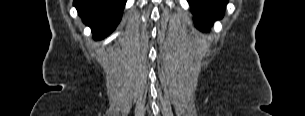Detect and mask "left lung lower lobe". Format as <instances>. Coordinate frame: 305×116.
Wrapping results in <instances>:
<instances>
[{"label":"left lung lower lobe","instance_id":"obj_1","mask_svg":"<svg viewBox=\"0 0 305 116\" xmlns=\"http://www.w3.org/2000/svg\"><path fill=\"white\" fill-rule=\"evenodd\" d=\"M195 15V24L200 30L209 31V27L224 15L228 0H188Z\"/></svg>","mask_w":305,"mask_h":116}]
</instances>
